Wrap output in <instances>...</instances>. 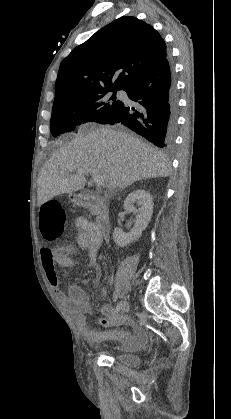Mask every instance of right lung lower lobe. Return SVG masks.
<instances>
[{"instance_id": "98d812e1", "label": "right lung lower lobe", "mask_w": 231, "mask_h": 419, "mask_svg": "<svg viewBox=\"0 0 231 419\" xmlns=\"http://www.w3.org/2000/svg\"><path fill=\"white\" fill-rule=\"evenodd\" d=\"M124 91L137 104L122 103L101 123H122L158 147L169 148L176 132L178 98L168 59L131 82Z\"/></svg>"}]
</instances>
